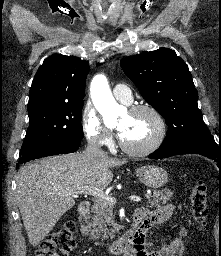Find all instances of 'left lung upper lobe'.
<instances>
[{
  "label": "left lung upper lobe",
  "mask_w": 221,
  "mask_h": 256,
  "mask_svg": "<svg viewBox=\"0 0 221 256\" xmlns=\"http://www.w3.org/2000/svg\"><path fill=\"white\" fill-rule=\"evenodd\" d=\"M124 73L142 97L165 119L164 144L210 134L198 109V93L187 64L169 48L143 52L121 60Z\"/></svg>",
  "instance_id": "5c2ea615"
}]
</instances>
